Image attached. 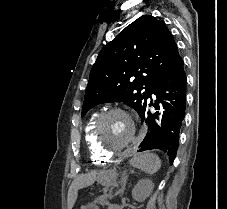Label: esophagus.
Wrapping results in <instances>:
<instances>
[{"label": "esophagus", "mask_w": 227, "mask_h": 209, "mask_svg": "<svg viewBox=\"0 0 227 209\" xmlns=\"http://www.w3.org/2000/svg\"><path fill=\"white\" fill-rule=\"evenodd\" d=\"M149 124H142L141 128H140V133H139V138H136L134 144H130V149H125L124 152H121L119 155H118V158L119 159H124L125 157H128L129 154H132V149H137L138 146L141 145V143H143V138H147L148 137V134H147V129H149ZM112 166L113 167H118L119 166V163L118 162H113L112 163Z\"/></svg>", "instance_id": "34e87169"}]
</instances>
